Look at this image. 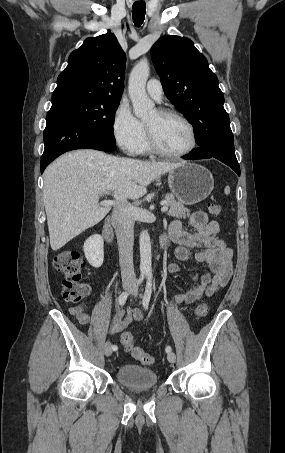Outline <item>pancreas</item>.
Listing matches in <instances>:
<instances>
[{"mask_svg":"<svg viewBox=\"0 0 285 453\" xmlns=\"http://www.w3.org/2000/svg\"><path fill=\"white\" fill-rule=\"evenodd\" d=\"M165 200L167 206L170 207V210L167 212L168 216L186 218L190 215V210L185 208L182 203L178 202L172 194H166Z\"/></svg>","mask_w":285,"mask_h":453,"instance_id":"1","label":"pancreas"}]
</instances>
